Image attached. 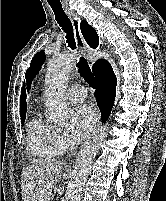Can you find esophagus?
Masks as SVG:
<instances>
[{
    "label": "esophagus",
    "mask_w": 166,
    "mask_h": 201,
    "mask_svg": "<svg viewBox=\"0 0 166 201\" xmlns=\"http://www.w3.org/2000/svg\"><path fill=\"white\" fill-rule=\"evenodd\" d=\"M67 14L69 15V17L71 18L72 24H73V29H74V37L77 43L78 48L80 49L81 53L84 55V57L86 58L88 65L90 67H92L93 65V61H91L90 57H91V50L89 49L86 41L84 40L81 30H80V22H81V18L80 16H78L76 13H74L71 9H66ZM100 127L99 126L96 128L95 131H97Z\"/></svg>",
    "instance_id": "1"
}]
</instances>
